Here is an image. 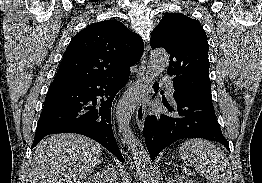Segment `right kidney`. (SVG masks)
Returning a JSON list of instances; mask_svg holds the SVG:
<instances>
[{
	"label": "right kidney",
	"instance_id": "right-kidney-1",
	"mask_svg": "<svg viewBox=\"0 0 262 183\" xmlns=\"http://www.w3.org/2000/svg\"><path fill=\"white\" fill-rule=\"evenodd\" d=\"M84 183H118L115 175V171L111 168L103 169L97 172L92 178Z\"/></svg>",
	"mask_w": 262,
	"mask_h": 183
}]
</instances>
